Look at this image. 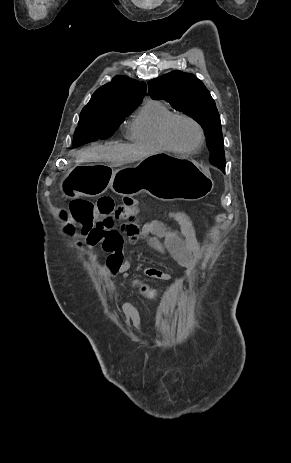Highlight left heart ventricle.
I'll return each mask as SVG.
<instances>
[{"label": "left heart ventricle", "instance_id": "1", "mask_svg": "<svg viewBox=\"0 0 291 463\" xmlns=\"http://www.w3.org/2000/svg\"><path fill=\"white\" fill-rule=\"evenodd\" d=\"M171 138L180 147L189 149L197 145L199 134L197 128L189 121L179 119L171 127Z\"/></svg>", "mask_w": 291, "mask_h": 463}]
</instances>
